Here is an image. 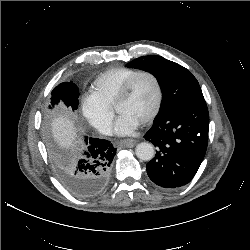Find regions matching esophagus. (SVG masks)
<instances>
[{
    "label": "esophagus",
    "instance_id": "esophagus-1",
    "mask_svg": "<svg viewBox=\"0 0 250 250\" xmlns=\"http://www.w3.org/2000/svg\"><path fill=\"white\" fill-rule=\"evenodd\" d=\"M136 143L137 141L134 139H125L119 142V144L126 146V147H133Z\"/></svg>",
    "mask_w": 250,
    "mask_h": 250
}]
</instances>
